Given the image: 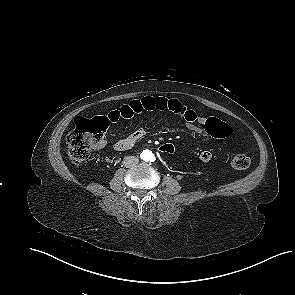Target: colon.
I'll return each instance as SVG.
<instances>
[{
    "label": "colon",
    "mask_w": 295,
    "mask_h": 295,
    "mask_svg": "<svg viewBox=\"0 0 295 295\" xmlns=\"http://www.w3.org/2000/svg\"><path fill=\"white\" fill-rule=\"evenodd\" d=\"M108 122L104 116L92 118L78 117L75 120V128L67 135L66 143L68 154L72 163H84L91 152L103 138ZM207 132L217 138L230 137L234 130L232 126L217 119H210L206 123ZM158 148L161 152L172 155L176 148L170 142L163 140ZM250 165V158L246 154H237L232 159V167L235 170H245Z\"/></svg>",
    "instance_id": "colon-1"
}]
</instances>
